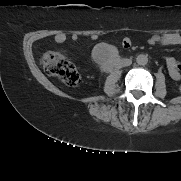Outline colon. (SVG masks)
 I'll list each match as a JSON object with an SVG mask.
<instances>
[{
  "mask_svg": "<svg viewBox=\"0 0 181 181\" xmlns=\"http://www.w3.org/2000/svg\"><path fill=\"white\" fill-rule=\"evenodd\" d=\"M42 66L48 75L58 78L67 86L74 87L80 82V74L75 65L60 53H45L42 57Z\"/></svg>",
  "mask_w": 181,
  "mask_h": 181,
  "instance_id": "5ec220e1",
  "label": "colon"
}]
</instances>
